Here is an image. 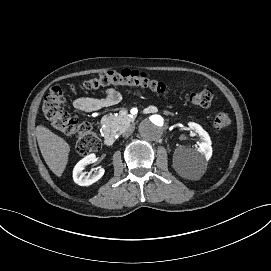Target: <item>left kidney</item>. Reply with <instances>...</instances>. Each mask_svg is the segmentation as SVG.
<instances>
[{"mask_svg": "<svg viewBox=\"0 0 271 271\" xmlns=\"http://www.w3.org/2000/svg\"><path fill=\"white\" fill-rule=\"evenodd\" d=\"M188 127L196 130L200 135L199 148L188 150L186 148H177L174 152L173 163L179 171L187 175L194 176L197 174V167L200 165L202 158L208 160L212 154V141L208 132L202 125L190 121Z\"/></svg>", "mask_w": 271, "mask_h": 271, "instance_id": "obj_1", "label": "left kidney"}]
</instances>
